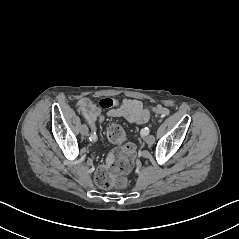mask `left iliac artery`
<instances>
[{"label":"left iliac artery","instance_id":"1","mask_svg":"<svg viewBox=\"0 0 239 239\" xmlns=\"http://www.w3.org/2000/svg\"><path fill=\"white\" fill-rule=\"evenodd\" d=\"M149 132H150V130L148 128H144V129L141 130V135L146 136V135L149 134Z\"/></svg>","mask_w":239,"mask_h":239}]
</instances>
